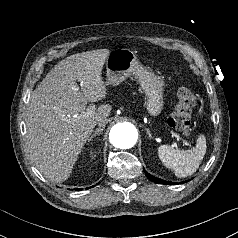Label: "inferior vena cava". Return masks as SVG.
Listing matches in <instances>:
<instances>
[{
	"instance_id": "obj_1",
	"label": "inferior vena cava",
	"mask_w": 238,
	"mask_h": 238,
	"mask_svg": "<svg viewBox=\"0 0 238 238\" xmlns=\"http://www.w3.org/2000/svg\"><path fill=\"white\" fill-rule=\"evenodd\" d=\"M108 121L109 120L106 119V118L105 119H101V120L98 121V126L99 127H105V125L108 123Z\"/></svg>"
}]
</instances>
